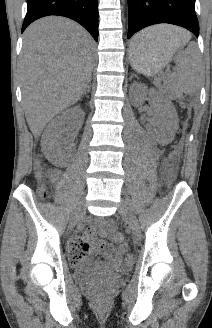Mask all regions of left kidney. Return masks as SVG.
<instances>
[{"mask_svg": "<svg viewBox=\"0 0 212 328\" xmlns=\"http://www.w3.org/2000/svg\"><path fill=\"white\" fill-rule=\"evenodd\" d=\"M136 97L133 102L135 105L142 104L147 95L150 105L154 110V119L152 124L157 126L155 137L159 143H168L172 141L178 127V117L174 105L171 101L165 99L155 89L148 90L143 84H134Z\"/></svg>", "mask_w": 212, "mask_h": 328, "instance_id": "obj_1", "label": "left kidney"}]
</instances>
